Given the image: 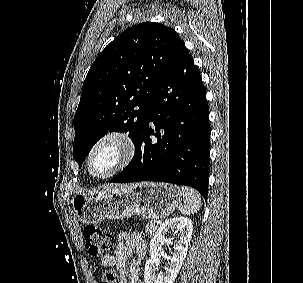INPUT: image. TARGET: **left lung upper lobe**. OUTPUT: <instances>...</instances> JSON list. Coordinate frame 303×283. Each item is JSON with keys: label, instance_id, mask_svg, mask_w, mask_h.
Wrapping results in <instances>:
<instances>
[{"label": "left lung upper lobe", "instance_id": "left-lung-upper-lobe-1", "mask_svg": "<svg viewBox=\"0 0 303 283\" xmlns=\"http://www.w3.org/2000/svg\"><path fill=\"white\" fill-rule=\"evenodd\" d=\"M185 48L174 29L145 22L109 43L92 64L73 120L79 167L108 131L129 132L137 146L150 101Z\"/></svg>", "mask_w": 303, "mask_h": 283}]
</instances>
